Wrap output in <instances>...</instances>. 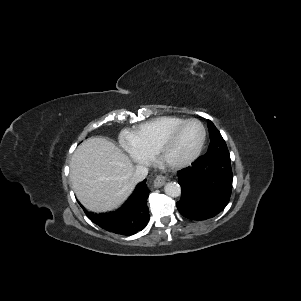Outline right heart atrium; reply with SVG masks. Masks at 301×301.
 Listing matches in <instances>:
<instances>
[{
    "label": "right heart atrium",
    "instance_id": "obj_1",
    "mask_svg": "<svg viewBox=\"0 0 301 301\" xmlns=\"http://www.w3.org/2000/svg\"><path fill=\"white\" fill-rule=\"evenodd\" d=\"M121 145L134 162L139 164H148L150 162L151 156L140 151L128 137H124L121 140Z\"/></svg>",
    "mask_w": 301,
    "mask_h": 301
}]
</instances>
